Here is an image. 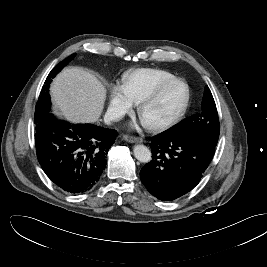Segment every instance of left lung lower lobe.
I'll use <instances>...</instances> for the list:
<instances>
[{
    "instance_id": "left-lung-lower-lobe-1",
    "label": "left lung lower lobe",
    "mask_w": 267,
    "mask_h": 267,
    "mask_svg": "<svg viewBox=\"0 0 267 267\" xmlns=\"http://www.w3.org/2000/svg\"><path fill=\"white\" fill-rule=\"evenodd\" d=\"M152 160L140 171L148 191L163 201L177 199L200 181L215 153V146L197 134L171 135L168 132L152 138Z\"/></svg>"
}]
</instances>
